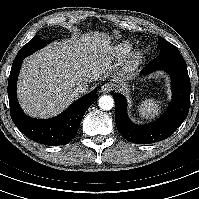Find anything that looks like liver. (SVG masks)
Instances as JSON below:
<instances>
[{
	"label": "liver",
	"mask_w": 199,
	"mask_h": 199,
	"mask_svg": "<svg viewBox=\"0 0 199 199\" xmlns=\"http://www.w3.org/2000/svg\"><path fill=\"white\" fill-rule=\"evenodd\" d=\"M112 50L111 38L95 31L54 42L28 56L17 83L21 108L35 118L61 113L78 98L77 83L110 75Z\"/></svg>",
	"instance_id": "6515ba94"
}]
</instances>
